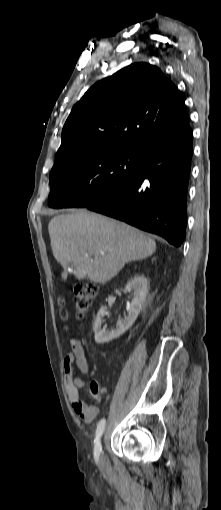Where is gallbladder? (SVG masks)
I'll return each mask as SVG.
<instances>
[{"label": "gallbladder", "instance_id": "bac80fb5", "mask_svg": "<svg viewBox=\"0 0 221 510\" xmlns=\"http://www.w3.org/2000/svg\"><path fill=\"white\" fill-rule=\"evenodd\" d=\"M72 267H74V265H73V264H70V265L68 266V268H72Z\"/></svg>", "mask_w": 221, "mask_h": 510}]
</instances>
